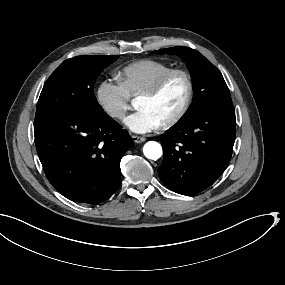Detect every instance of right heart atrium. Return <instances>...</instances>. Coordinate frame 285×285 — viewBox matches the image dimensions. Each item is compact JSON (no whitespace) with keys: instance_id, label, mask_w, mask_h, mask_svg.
<instances>
[{"instance_id":"obj_1","label":"right heart atrium","mask_w":285,"mask_h":285,"mask_svg":"<svg viewBox=\"0 0 285 285\" xmlns=\"http://www.w3.org/2000/svg\"><path fill=\"white\" fill-rule=\"evenodd\" d=\"M99 96L103 109L113 119L120 120L133 108L134 98L110 79L101 82Z\"/></svg>"}]
</instances>
